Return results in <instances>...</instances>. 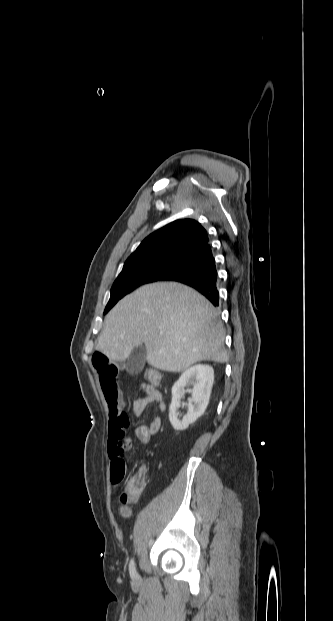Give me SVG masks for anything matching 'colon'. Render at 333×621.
Segmentation results:
<instances>
[{
	"label": "colon",
	"mask_w": 333,
	"mask_h": 621,
	"mask_svg": "<svg viewBox=\"0 0 333 621\" xmlns=\"http://www.w3.org/2000/svg\"><path fill=\"white\" fill-rule=\"evenodd\" d=\"M145 377L153 386H158L161 382V374L154 368H148L145 372ZM126 465L123 462L115 463L111 467L110 479L112 484L120 485L125 479ZM147 482V468L142 465L136 469V471L127 479L123 487L122 493L119 498V511L122 517H129L131 515L130 505L134 503L142 491L144 490Z\"/></svg>",
	"instance_id": "1"
}]
</instances>
